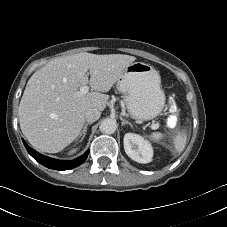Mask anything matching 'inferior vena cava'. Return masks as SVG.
<instances>
[{
  "mask_svg": "<svg viewBox=\"0 0 227 227\" xmlns=\"http://www.w3.org/2000/svg\"><path fill=\"white\" fill-rule=\"evenodd\" d=\"M101 112L96 108H90L85 112V118L88 122H95L99 119Z\"/></svg>",
  "mask_w": 227,
  "mask_h": 227,
  "instance_id": "inferior-vena-cava-1",
  "label": "inferior vena cava"
}]
</instances>
